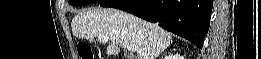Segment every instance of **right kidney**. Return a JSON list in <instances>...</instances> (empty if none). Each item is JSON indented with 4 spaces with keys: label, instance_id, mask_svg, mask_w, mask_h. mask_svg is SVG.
Listing matches in <instances>:
<instances>
[{
    "label": "right kidney",
    "instance_id": "ca27d5eb",
    "mask_svg": "<svg viewBox=\"0 0 261 59\" xmlns=\"http://www.w3.org/2000/svg\"><path fill=\"white\" fill-rule=\"evenodd\" d=\"M166 59H183V57L180 54H176L174 56L166 57Z\"/></svg>",
    "mask_w": 261,
    "mask_h": 59
}]
</instances>
